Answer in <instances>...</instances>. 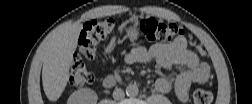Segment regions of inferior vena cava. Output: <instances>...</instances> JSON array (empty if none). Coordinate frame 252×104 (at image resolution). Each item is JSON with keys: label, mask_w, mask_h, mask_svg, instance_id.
<instances>
[{"label": "inferior vena cava", "mask_w": 252, "mask_h": 104, "mask_svg": "<svg viewBox=\"0 0 252 104\" xmlns=\"http://www.w3.org/2000/svg\"><path fill=\"white\" fill-rule=\"evenodd\" d=\"M125 97V93L122 89L120 88H116L114 91H113V98L117 101H120V100H123Z\"/></svg>", "instance_id": "inferior-vena-cava-1"}]
</instances>
